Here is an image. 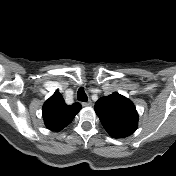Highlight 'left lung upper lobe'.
<instances>
[{"instance_id":"1","label":"left lung upper lobe","mask_w":176,"mask_h":176,"mask_svg":"<svg viewBox=\"0 0 176 176\" xmlns=\"http://www.w3.org/2000/svg\"><path fill=\"white\" fill-rule=\"evenodd\" d=\"M94 109L113 138L127 137L137 129L138 113L134 104L117 92L99 98Z\"/></svg>"}]
</instances>
